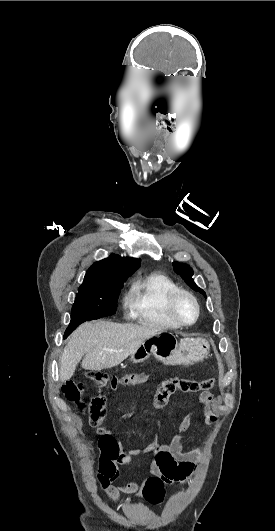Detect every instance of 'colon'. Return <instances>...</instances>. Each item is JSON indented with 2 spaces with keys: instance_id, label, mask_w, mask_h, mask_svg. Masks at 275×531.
Listing matches in <instances>:
<instances>
[{
  "instance_id": "1",
  "label": "colon",
  "mask_w": 275,
  "mask_h": 531,
  "mask_svg": "<svg viewBox=\"0 0 275 531\" xmlns=\"http://www.w3.org/2000/svg\"><path fill=\"white\" fill-rule=\"evenodd\" d=\"M101 372H93L87 374L82 382L69 381L63 385L62 390L65 397L76 404V408L80 412H84L86 404L80 402V397L85 388L90 389V393L94 398L89 404L91 414V423L93 427H97L99 423L103 422L106 411L109 408L108 398L104 395L107 391V382L109 377ZM103 377V378H100ZM85 387V388H84ZM214 383L211 378L205 379H190L185 377H170L163 381H159L156 391H152L151 400L156 409L164 407L170 398L178 393H205L213 389ZM148 483L142 489V496L146 497L148 502L154 503L162 496L163 483L159 476L152 474L148 478Z\"/></svg>"
}]
</instances>
